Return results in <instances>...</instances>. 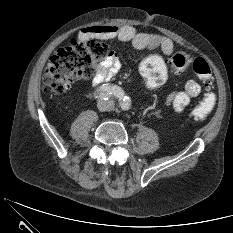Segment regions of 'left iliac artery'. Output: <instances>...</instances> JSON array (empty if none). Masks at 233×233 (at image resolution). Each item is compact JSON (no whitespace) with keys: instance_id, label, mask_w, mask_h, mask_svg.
<instances>
[{"instance_id":"1","label":"left iliac artery","mask_w":233,"mask_h":233,"mask_svg":"<svg viewBox=\"0 0 233 233\" xmlns=\"http://www.w3.org/2000/svg\"><path fill=\"white\" fill-rule=\"evenodd\" d=\"M120 105H121V108L123 110H128L130 108V99H129V97L125 96L122 99V102L120 103Z\"/></svg>"}]
</instances>
